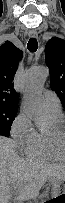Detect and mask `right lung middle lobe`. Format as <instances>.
<instances>
[{"instance_id": "1", "label": "right lung middle lobe", "mask_w": 65, "mask_h": 203, "mask_svg": "<svg viewBox=\"0 0 65 203\" xmlns=\"http://www.w3.org/2000/svg\"><path fill=\"white\" fill-rule=\"evenodd\" d=\"M17 113V107L0 104V135L9 136L10 127Z\"/></svg>"}]
</instances>
